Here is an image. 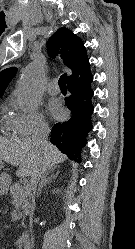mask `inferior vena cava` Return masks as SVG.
Wrapping results in <instances>:
<instances>
[{"instance_id": "inferior-vena-cava-1", "label": "inferior vena cava", "mask_w": 135, "mask_h": 249, "mask_svg": "<svg viewBox=\"0 0 135 249\" xmlns=\"http://www.w3.org/2000/svg\"><path fill=\"white\" fill-rule=\"evenodd\" d=\"M50 133V129L47 126H41L39 130L33 136V141L40 147H46L47 145V138ZM42 175V171L38 170L31 176V189L33 191L31 195V212H30V232L32 231V215L35 207V194L38 181Z\"/></svg>"}]
</instances>
